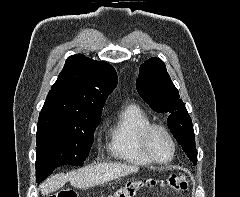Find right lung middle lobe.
<instances>
[{
    "instance_id": "dd1d6c3e",
    "label": "right lung middle lobe",
    "mask_w": 240,
    "mask_h": 197,
    "mask_svg": "<svg viewBox=\"0 0 240 197\" xmlns=\"http://www.w3.org/2000/svg\"><path fill=\"white\" fill-rule=\"evenodd\" d=\"M99 122L100 118L39 117L36 138V182H42L58 166L83 165Z\"/></svg>"
}]
</instances>
